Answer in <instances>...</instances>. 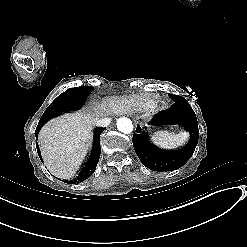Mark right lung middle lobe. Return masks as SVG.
<instances>
[{
    "instance_id": "1",
    "label": "right lung middle lobe",
    "mask_w": 247,
    "mask_h": 247,
    "mask_svg": "<svg viewBox=\"0 0 247 247\" xmlns=\"http://www.w3.org/2000/svg\"><path fill=\"white\" fill-rule=\"evenodd\" d=\"M93 90L92 87L82 86L70 88L59 95L45 110L42 118H52L61 112L72 111L79 108L87 96Z\"/></svg>"
}]
</instances>
